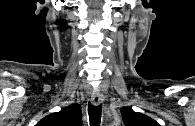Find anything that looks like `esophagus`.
I'll return each instance as SVG.
<instances>
[{
	"instance_id": "1",
	"label": "esophagus",
	"mask_w": 195,
	"mask_h": 126,
	"mask_svg": "<svg viewBox=\"0 0 195 126\" xmlns=\"http://www.w3.org/2000/svg\"><path fill=\"white\" fill-rule=\"evenodd\" d=\"M91 101L94 105H99L100 103H102L103 102L102 93L99 91L93 92L91 95Z\"/></svg>"
}]
</instances>
